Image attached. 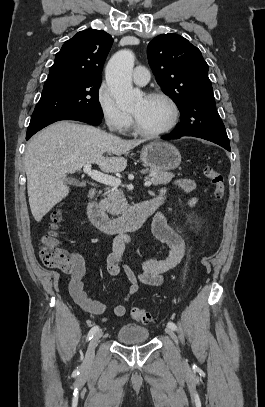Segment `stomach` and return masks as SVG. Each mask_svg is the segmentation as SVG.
<instances>
[{"label":"stomach","instance_id":"0dacf381","mask_svg":"<svg viewBox=\"0 0 265 407\" xmlns=\"http://www.w3.org/2000/svg\"><path fill=\"white\" fill-rule=\"evenodd\" d=\"M143 163L151 170L169 171L181 164V154L168 142L153 141L144 146L140 154Z\"/></svg>","mask_w":265,"mask_h":407}]
</instances>
